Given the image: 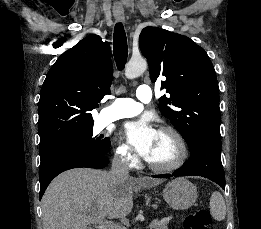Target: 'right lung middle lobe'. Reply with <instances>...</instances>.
<instances>
[{"mask_svg":"<svg viewBox=\"0 0 261 229\" xmlns=\"http://www.w3.org/2000/svg\"><path fill=\"white\" fill-rule=\"evenodd\" d=\"M102 138L95 136L93 129H91L82 136L64 144L39 150L41 162L68 156L106 155L110 148V140Z\"/></svg>","mask_w":261,"mask_h":229,"instance_id":"1","label":"right lung middle lobe"}]
</instances>
